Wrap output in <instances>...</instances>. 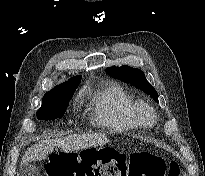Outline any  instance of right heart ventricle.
<instances>
[{"mask_svg":"<svg viewBox=\"0 0 205 176\" xmlns=\"http://www.w3.org/2000/svg\"><path fill=\"white\" fill-rule=\"evenodd\" d=\"M134 104L133 97L114 82L99 85L91 102L97 124L115 134L128 132L138 126L132 114Z\"/></svg>","mask_w":205,"mask_h":176,"instance_id":"obj_1","label":"right heart ventricle"}]
</instances>
